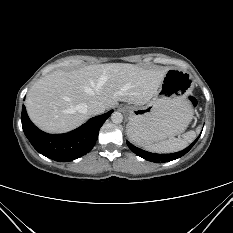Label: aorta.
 Listing matches in <instances>:
<instances>
[{"label": "aorta", "mask_w": 233, "mask_h": 233, "mask_svg": "<svg viewBox=\"0 0 233 233\" xmlns=\"http://www.w3.org/2000/svg\"><path fill=\"white\" fill-rule=\"evenodd\" d=\"M111 120L115 124H119L123 121V115L120 112H113L111 114Z\"/></svg>", "instance_id": "762f6f07"}]
</instances>
